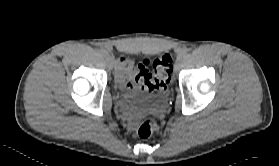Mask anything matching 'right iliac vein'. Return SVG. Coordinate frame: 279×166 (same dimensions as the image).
Instances as JSON below:
<instances>
[{"label": "right iliac vein", "instance_id": "right-iliac-vein-1", "mask_svg": "<svg viewBox=\"0 0 279 166\" xmlns=\"http://www.w3.org/2000/svg\"><path fill=\"white\" fill-rule=\"evenodd\" d=\"M105 59H106V63H107L108 68L112 69L114 67V60H113V58L110 55H107L105 57Z\"/></svg>", "mask_w": 279, "mask_h": 166}]
</instances>
